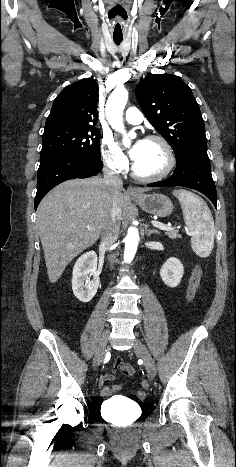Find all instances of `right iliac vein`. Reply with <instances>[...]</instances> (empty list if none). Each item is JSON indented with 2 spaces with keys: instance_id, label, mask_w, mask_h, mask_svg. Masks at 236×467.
<instances>
[{
  "instance_id": "obj_1",
  "label": "right iliac vein",
  "mask_w": 236,
  "mask_h": 467,
  "mask_svg": "<svg viewBox=\"0 0 236 467\" xmlns=\"http://www.w3.org/2000/svg\"><path fill=\"white\" fill-rule=\"evenodd\" d=\"M108 338H109V330H106L101 339H100V342L98 344V347L96 349V353H95V357H94V362H93V365L94 367H98L104 356H105V352H106V349H107V343H108Z\"/></svg>"
}]
</instances>
